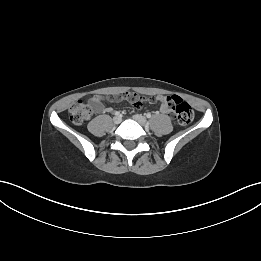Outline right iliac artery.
Returning <instances> with one entry per match:
<instances>
[{"label": "right iliac artery", "instance_id": "82829eb1", "mask_svg": "<svg viewBox=\"0 0 261 261\" xmlns=\"http://www.w3.org/2000/svg\"><path fill=\"white\" fill-rule=\"evenodd\" d=\"M115 115L116 116H121L120 112H118V111L115 112Z\"/></svg>", "mask_w": 261, "mask_h": 261}]
</instances>
